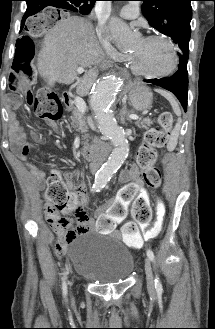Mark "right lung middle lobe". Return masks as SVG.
Listing matches in <instances>:
<instances>
[{
    "label": "right lung middle lobe",
    "instance_id": "dd1d6c3e",
    "mask_svg": "<svg viewBox=\"0 0 215 329\" xmlns=\"http://www.w3.org/2000/svg\"><path fill=\"white\" fill-rule=\"evenodd\" d=\"M65 6L71 11L79 12L82 15H88L92 9L93 4L87 3L84 0H67Z\"/></svg>",
    "mask_w": 215,
    "mask_h": 329
}]
</instances>
